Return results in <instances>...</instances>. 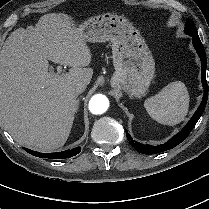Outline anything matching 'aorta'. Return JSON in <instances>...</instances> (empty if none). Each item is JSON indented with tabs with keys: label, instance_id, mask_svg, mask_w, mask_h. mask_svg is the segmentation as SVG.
Segmentation results:
<instances>
[{
	"label": "aorta",
	"instance_id": "aorta-1",
	"mask_svg": "<svg viewBox=\"0 0 209 209\" xmlns=\"http://www.w3.org/2000/svg\"><path fill=\"white\" fill-rule=\"evenodd\" d=\"M88 107L92 114L100 115L107 111L109 100L103 94H96L90 99Z\"/></svg>",
	"mask_w": 209,
	"mask_h": 209
}]
</instances>
